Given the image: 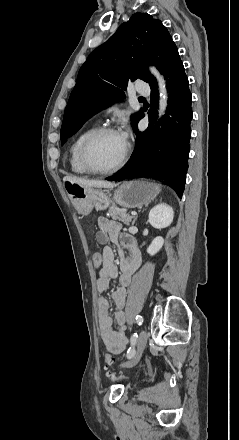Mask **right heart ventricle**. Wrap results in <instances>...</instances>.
I'll return each instance as SVG.
<instances>
[{"label":"right heart ventricle","instance_id":"1","mask_svg":"<svg viewBox=\"0 0 239 440\" xmlns=\"http://www.w3.org/2000/svg\"><path fill=\"white\" fill-rule=\"evenodd\" d=\"M95 130V126H90L82 131H80L76 137L73 139L70 148H69V155H68V162L70 169L73 173L79 174V175H87L89 172H87L84 167L82 166L79 158V151L80 147L85 140V138Z\"/></svg>","mask_w":239,"mask_h":440}]
</instances>
